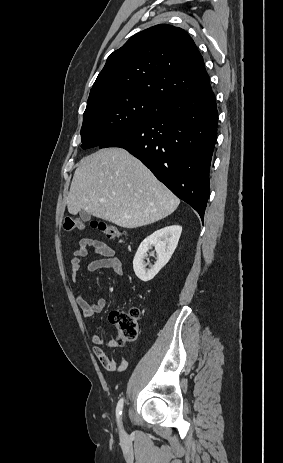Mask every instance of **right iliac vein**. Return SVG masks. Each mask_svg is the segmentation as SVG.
Masks as SVG:
<instances>
[{
	"label": "right iliac vein",
	"mask_w": 283,
	"mask_h": 463,
	"mask_svg": "<svg viewBox=\"0 0 283 463\" xmlns=\"http://www.w3.org/2000/svg\"><path fill=\"white\" fill-rule=\"evenodd\" d=\"M121 432H122V434H123V435L125 434V432H124V430H123V429H122V431H121Z\"/></svg>",
	"instance_id": "63e3f726"
}]
</instances>
